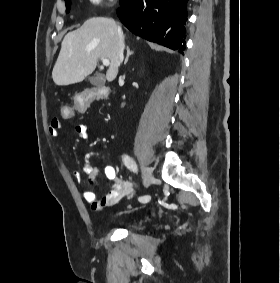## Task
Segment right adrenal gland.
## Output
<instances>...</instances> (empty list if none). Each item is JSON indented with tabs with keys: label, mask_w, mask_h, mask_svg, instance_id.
Segmentation results:
<instances>
[{
	"label": "right adrenal gland",
	"mask_w": 280,
	"mask_h": 283,
	"mask_svg": "<svg viewBox=\"0 0 280 283\" xmlns=\"http://www.w3.org/2000/svg\"><path fill=\"white\" fill-rule=\"evenodd\" d=\"M127 55H126V58H125V61H124V64H127V62H128V59H129V57L131 56V55H133V51H130V48H129V46H127Z\"/></svg>",
	"instance_id": "right-adrenal-gland-1"
}]
</instances>
